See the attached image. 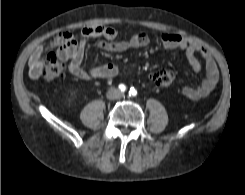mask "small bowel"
Listing matches in <instances>:
<instances>
[{
	"instance_id": "1",
	"label": "small bowel",
	"mask_w": 245,
	"mask_h": 195,
	"mask_svg": "<svg viewBox=\"0 0 245 195\" xmlns=\"http://www.w3.org/2000/svg\"><path fill=\"white\" fill-rule=\"evenodd\" d=\"M84 38L79 39L70 32L59 34L49 45V50L55 49L58 57L63 61H69V70L76 77L84 80L105 79L116 76L119 67L115 64H105L91 69H85L82 65L86 50L85 38L101 37L99 47L108 52H121L127 49L142 48L148 45L149 37L144 32L134 34L128 40H117L118 31L113 27L104 25L86 26L81 30ZM161 42L165 49H179L186 55L192 71L199 72L201 63L197 54L205 63L206 76L196 86L185 87L182 95L188 100H198L208 96L215 88L219 79L218 66L207 48L198 42L185 36L165 33L161 36ZM45 49L38 46L29 59V75L36 79L40 76Z\"/></svg>"
}]
</instances>
